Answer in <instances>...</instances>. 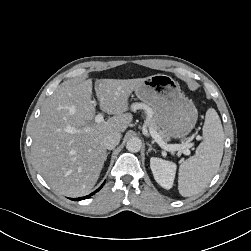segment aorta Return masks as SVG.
I'll list each match as a JSON object with an SVG mask.
<instances>
[{"label": "aorta", "instance_id": "1", "mask_svg": "<svg viewBox=\"0 0 251 251\" xmlns=\"http://www.w3.org/2000/svg\"><path fill=\"white\" fill-rule=\"evenodd\" d=\"M141 147H142V142L138 137H132L126 143V149L129 152L133 153L138 152L140 151Z\"/></svg>", "mask_w": 251, "mask_h": 251}]
</instances>
